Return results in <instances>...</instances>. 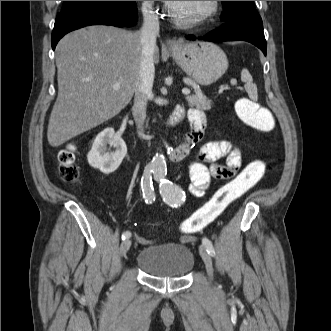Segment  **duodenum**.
<instances>
[{
  "label": "duodenum",
  "mask_w": 331,
  "mask_h": 331,
  "mask_svg": "<svg viewBox=\"0 0 331 331\" xmlns=\"http://www.w3.org/2000/svg\"><path fill=\"white\" fill-rule=\"evenodd\" d=\"M181 118H182V112L179 109H176L169 117L168 125L173 126L177 124L181 120Z\"/></svg>",
  "instance_id": "obj_1"
}]
</instances>
